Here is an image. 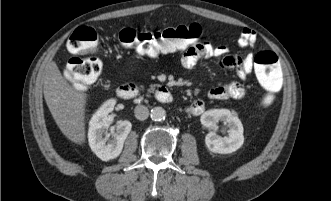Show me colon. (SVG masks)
<instances>
[{
    "mask_svg": "<svg viewBox=\"0 0 331 201\" xmlns=\"http://www.w3.org/2000/svg\"><path fill=\"white\" fill-rule=\"evenodd\" d=\"M202 35V27L197 23L159 31H137L124 28L116 33L118 43L141 55L156 56L161 53L188 49L196 45ZM98 44L96 31L89 26L79 27L68 40V50L72 54L95 51ZM257 79L265 93L260 98L262 106H270L276 93L282 87L283 68L279 57L272 51H260L254 57ZM102 62L96 56L72 57L66 65L65 76L77 88L84 89L98 79Z\"/></svg>",
    "mask_w": 331,
    "mask_h": 201,
    "instance_id": "colon-1",
    "label": "colon"
}]
</instances>
